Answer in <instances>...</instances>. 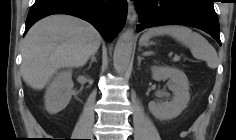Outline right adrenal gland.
<instances>
[{"mask_svg": "<svg viewBox=\"0 0 236 140\" xmlns=\"http://www.w3.org/2000/svg\"><path fill=\"white\" fill-rule=\"evenodd\" d=\"M95 55H96V53H94V54L91 56V61H90L89 67H91V65H92L93 62H96Z\"/></svg>", "mask_w": 236, "mask_h": 140, "instance_id": "2a0ac1e0", "label": "right adrenal gland"}]
</instances>
